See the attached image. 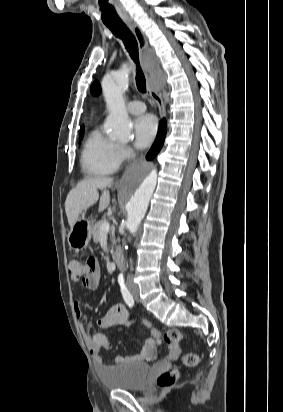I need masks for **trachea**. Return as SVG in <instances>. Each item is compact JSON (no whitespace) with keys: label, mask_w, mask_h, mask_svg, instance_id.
<instances>
[{"label":"trachea","mask_w":283,"mask_h":412,"mask_svg":"<svg viewBox=\"0 0 283 412\" xmlns=\"http://www.w3.org/2000/svg\"><path fill=\"white\" fill-rule=\"evenodd\" d=\"M106 26L112 31V33L122 39L126 50L128 51L130 57L136 64V85L140 92L146 93V80L144 73L140 67L139 54H138V43L135 36L128 29V27L123 22H116L106 24Z\"/></svg>","instance_id":"1"}]
</instances>
